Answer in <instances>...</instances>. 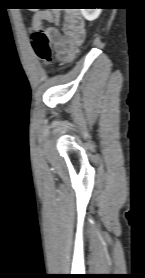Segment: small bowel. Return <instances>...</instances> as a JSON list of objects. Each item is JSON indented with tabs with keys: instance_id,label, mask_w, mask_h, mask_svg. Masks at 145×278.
Wrapping results in <instances>:
<instances>
[{
	"instance_id": "c3829d8e",
	"label": "small bowel",
	"mask_w": 145,
	"mask_h": 278,
	"mask_svg": "<svg viewBox=\"0 0 145 278\" xmlns=\"http://www.w3.org/2000/svg\"><path fill=\"white\" fill-rule=\"evenodd\" d=\"M60 12L38 13L31 22V31H43L48 38L49 44L55 53L57 61H67L74 57L77 48L83 43L86 31L83 20L76 12H66L62 31L56 27H43L41 20L46 18L54 25L60 22Z\"/></svg>"
}]
</instances>
